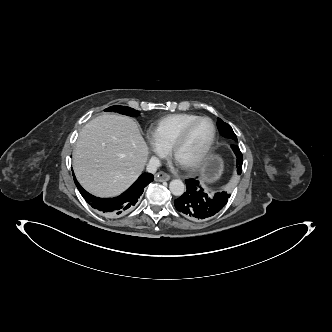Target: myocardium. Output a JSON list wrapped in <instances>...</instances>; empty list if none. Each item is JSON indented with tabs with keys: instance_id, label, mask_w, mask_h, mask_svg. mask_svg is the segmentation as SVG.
<instances>
[{
	"instance_id": "f54148a6",
	"label": "myocardium",
	"mask_w": 332,
	"mask_h": 332,
	"mask_svg": "<svg viewBox=\"0 0 332 332\" xmlns=\"http://www.w3.org/2000/svg\"><path fill=\"white\" fill-rule=\"evenodd\" d=\"M200 121H208L210 123L211 128H212V135H211L208 145L203 150V152L192 163H190L186 166H183L188 171H194V170H197L198 168H200L202 166V164L204 163V161L209 156V154L211 153V151L215 145L216 138H217V129H216L214 122L210 118L204 117V116H199L198 118L192 120L181 130V132L179 133V135L177 136V138L175 139L174 143L172 144V146L170 148L171 155H172V157L175 158L178 149L181 147V145L186 140L190 130L193 128L194 125H196Z\"/></svg>"
}]
</instances>
